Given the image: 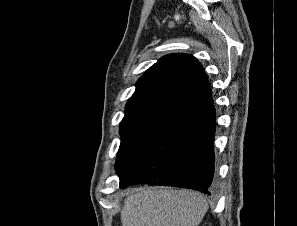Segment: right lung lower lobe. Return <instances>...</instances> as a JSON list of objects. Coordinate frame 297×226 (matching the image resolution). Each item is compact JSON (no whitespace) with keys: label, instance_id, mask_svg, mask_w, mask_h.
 I'll return each instance as SVG.
<instances>
[{"label":"right lung lower lobe","instance_id":"98d812e1","mask_svg":"<svg viewBox=\"0 0 297 226\" xmlns=\"http://www.w3.org/2000/svg\"><path fill=\"white\" fill-rule=\"evenodd\" d=\"M215 124L212 97L179 111L169 118L137 163L120 179V188L148 183L210 195Z\"/></svg>","mask_w":297,"mask_h":226}]
</instances>
